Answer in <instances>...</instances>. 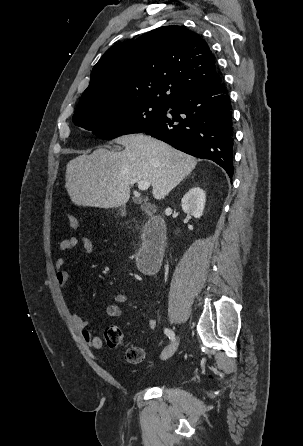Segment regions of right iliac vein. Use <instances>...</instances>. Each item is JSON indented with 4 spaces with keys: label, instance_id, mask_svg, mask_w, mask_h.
<instances>
[{
    "label": "right iliac vein",
    "instance_id": "63e3f726",
    "mask_svg": "<svg viewBox=\"0 0 303 446\" xmlns=\"http://www.w3.org/2000/svg\"><path fill=\"white\" fill-rule=\"evenodd\" d=\"M178 344H179L178 339L172 341V343L168 345L162 352L161 359L166 360L170 358L177 350Z\"/></svg>",
    "mask_w": 303,
    "mask_h": 446
}]
</instances>
